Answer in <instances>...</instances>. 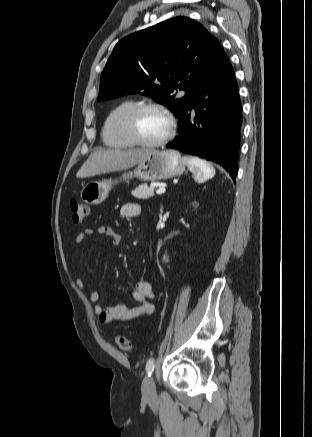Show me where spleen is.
<instances>
[{
	"instance_id": "1",
	"label": "spleen",
	"mask_w": 312,
	"mask_h": 437,
	"mask_svg": "<svg viewBox=\"0 0 312 437\" xmlns=\"http://www.w3.org/2000/svg\"><path fill=\"white\" fill-rule=\"evenodd\" d=\"M183 161L194 174V178L198 183H203L215 175L214 167L205 160L198 157L185 156Z\"/></svg>"
}]
</instances>
